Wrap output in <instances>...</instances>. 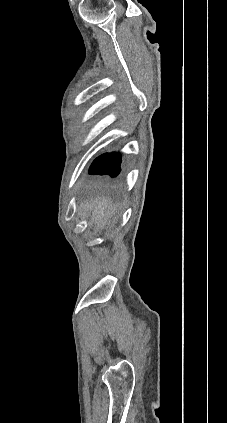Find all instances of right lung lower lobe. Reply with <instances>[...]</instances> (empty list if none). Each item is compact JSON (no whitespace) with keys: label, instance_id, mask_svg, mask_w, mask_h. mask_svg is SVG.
<instances>
[{"label":"right lung lower lobe","instance_id":"98d812e1","mask_svg":"<svg viewBox=\"0 0 227 423\" xmlns=\"http://www.w3.org/2000/svg\"><path fill=\"white\" fill-rule=\"evenodd\" d=\"M121 158L117 153L104 154L98 157L89 169L90 174H108L116 176L120 172Z\"/></svg>","mask_w":227,"mask_h":423}]
</instances>
